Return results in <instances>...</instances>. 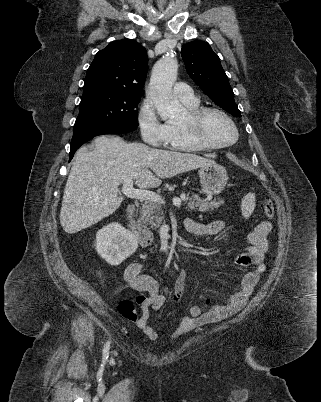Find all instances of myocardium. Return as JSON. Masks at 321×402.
<instances>
[{"label":"myocardium","instance_id":"myocardium-1","mask_svg":"<svg viewBox=\"0 0 321 402\" xmlns=\"http://www.w3.org/2000/svg\"><path fill=\"white\" fill-rule=\"evenodd\" d=\"M210 113H216L222 116L232 126L234 130V138L232 141L223 144H217L209 141L203 135L202 123L204 118ZM181 124L184 130L190 136V138L204 149H225L233 146L239 139V130L234 120L228 113L217 107L205 106L199 107L198 109L193 111H188L184 119L181 121Z\"/></svg>","mask_w":321,"mask_h":402}]
</instances>
